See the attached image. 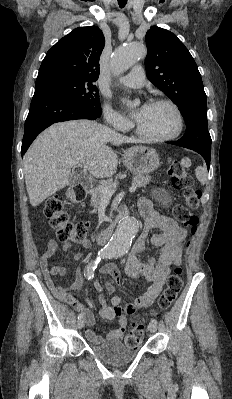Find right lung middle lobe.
Instances as JSON below:
<instances>
[{"label": "right lung middle lobe", "mask_w": 232, "mask_h": 399, "mask_svg": "<svg viewBox=\"0 0 232 399\" xmlns=\"http://www.w3.org/2000/svg\"><path fill=\"white\" fill-rule=\"evenodd\" d=\"M41 87L56 89L95 111H101L98 89L93 85V82L67 77H56L36 82L35 88Z\"/></svg>", "instance_id": "obj_1"}]
</instances>
